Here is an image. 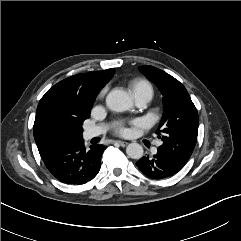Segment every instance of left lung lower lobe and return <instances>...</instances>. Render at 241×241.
Here are the masks:
<instances>
[{
	"instance_id": "left-lung-lower-lobe-1",
	"label": "left lung lower lobe",
	"mask_w": 241,
	"mask_h": 241,
	"mask_svg": "<svg viewBox=\"0 0 241 241\" xmlns=\"http://www.w3.org/2000/svg\"><path fill=\"white\" fill-rule=\"evenodd\" d=\"M136 165L144 175L152 179L171 177L182 169L181 165L159 151L152 157L143 156Z\"/></svg>"
}]
</instances>
